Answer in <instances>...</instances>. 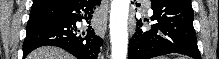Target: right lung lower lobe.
<instances>
[{
	"instance_id": "right-lung-lower-lobe-1",
	"label": "right lung lower lobe",
	"mask_w": 219,
	"mask_h": 59,
	"mask_svg": "<svg viewBox=\"0 0 219 59\" xmlns=\"http://www.w3.org/2000/svg\"><path fill=\"white\" fill-rule=\"evenodd\" d=\"M100 3L101 0H57L34 6L30 15L49 14L51 19L27 26L23 57L40 46L51 45L63 48L78 59H96L102 39L90 25L80 32L76 22L84 19L90 23L93 9Z\"/></svg>"
}]
</instances>
